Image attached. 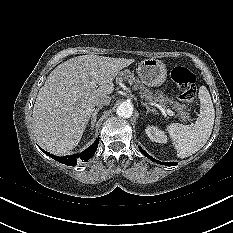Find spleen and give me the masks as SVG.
I'll use <instances>...</instances> for the list:
<instances>
[{
  "instance_id": "3e777b00",
  "label": "spleen",
  "mask_w": 233,
  "mask_h": 233,
  "mask_svg": "<svg viewBox=\"0 0 233 233\" xmlns=\"http://www.w3.org/2000/svg\"><path fill=\"white\" fill-rule=\"evenodd\" d=\"M200 114L195 124L172 123L166 127L179 158L188 157L199 151L208 141L215 119V110L209 91L205 86L199 89Z\"/></svg>"
}]
</instances>
